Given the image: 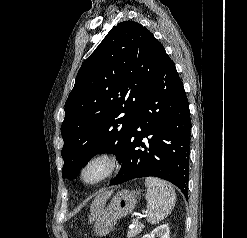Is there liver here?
<instances>
[{"label": "liver", "instance_id": "obj_1", "mask_svg": "<svg viewBox=\"0 0 247 238\" xmlns=\"http://www.w3.org/2000/svg\"><path fill=\"white\" fill-rule=\"evenodd\" d=\"M112 195V191H105L99 196H97L91 204L90 207V222H92L95 218H97L101 212L103 211L104 205L106 204L107 200Z\"/></svg>", "mask_w": 247, "mask_h": 238}]
</instances>
